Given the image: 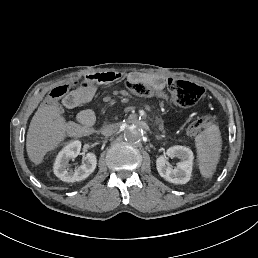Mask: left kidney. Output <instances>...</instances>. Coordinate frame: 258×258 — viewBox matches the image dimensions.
Masks as SVG:
<instances>
[{
    "instance_id": "left-kidney-1",
    "label": "left kidney",
    "mask_w": 258,
    "mask_h": 258,
    "mask_svg": "<svg viewBox=\"0 0 258 258\" xmlns=\"http://www.w3.org/2000/svg\"><path fill=\"white\" fill-rule=\"evenodd\" d=\"M166 155L170 158L177 157L181 161L176 168L166 165V158L159 156L156 160V167L159 175L165 180L175 184H186L192 173L193 152L185 146L175 145L167 149Z\"/></svg>"
}]
</instances>
